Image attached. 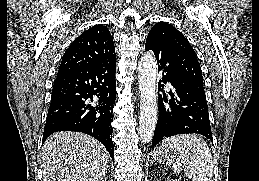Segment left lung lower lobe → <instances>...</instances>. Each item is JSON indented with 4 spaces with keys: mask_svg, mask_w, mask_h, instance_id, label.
<instances>
[{
    "mask_svg": "<svg viewBox=\"0 0 259 181\" xmlns=\"http://www.w3.org/2000/svg\"><path fill=\"white\" fill-rule=\"evenodd\" d=\"M145 50L152 49L145 47ZM153 52L162 78L158 83L159 117L151 149L164 138L177 134L198 133L213 141L206 96L179 77L168 51ZM167 82L172 86L170 100L159 94V91H164L162 83Z\"/></svg>",
    "mask_w": 259,
    "mask_h": 181,
    "instance_id": "1",
    "label": "left lung lower lobe"
}]
</instances>
